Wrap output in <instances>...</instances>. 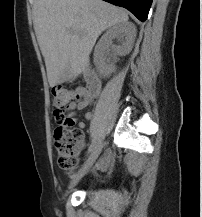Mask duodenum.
<instances>
[{
	"label": "duodenum",
	"mask_w": 202,
	"mask_h": 217,
	"mask_svg": "<svg viewBox=\"0 0 202 217\" xmlns=\"http://www.w3.org/2000/svg\"><path fill=\"white\" fill-rule=\"evenodd\" d=\"M101 89V83L96 76V74L89 70L87 74V85H86V90L87 93L90 95H95L98 94Z\"/></svg>",
	"instance_id": "410a0bca"
}]
</instances>
